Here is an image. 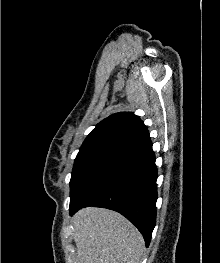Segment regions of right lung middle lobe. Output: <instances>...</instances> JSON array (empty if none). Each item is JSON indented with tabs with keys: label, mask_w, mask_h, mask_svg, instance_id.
<instances>
[{
	"label": "right lung middle lobe",
	"mask_w": 220,
	"mask_h": 263,
	"mask_svg": "<svg viewBox=\"0 0 220 263\" xmlns=\"http://www.w3.org/2000/svg\"><path fill=\"white\" fill-rule=\"evenodd\" d=\"M117 154L112 150L79 151L70 180V204L78 199L90 180Z\"/></svg>",
	"instance_id": "1"
}]
</instances>
